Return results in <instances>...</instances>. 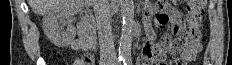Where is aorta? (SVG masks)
Returning a JSON list of instances; mask_svg holds the SVG:
<instances>
[{"instance_id":"aorta-1","label":"aorta","mask_w":232,"mask_h":65,"mask_svg":"<svg viewBox=\"0 0 232 65\" xmlns=\"http://www.w3.org/2000/svg\"><path fill=\"white\" fill-rule=\"evenodd\" d=\"M120 15L122 20L119 55L122 58L131 55L132 32L134 27V3L133 0H119Z\"/></svg>"}]
</instances>
